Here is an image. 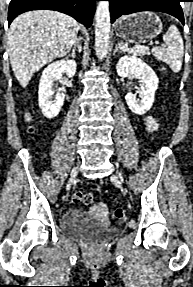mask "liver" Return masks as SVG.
<instances>
[{
	"instance_id": "1",
	"label": "liver",
	"mask_w": 193,
	"mask_h": 287,
	"mask_svg": "<svg viewBox=\"0 0 193 287\" xmlns=\"http://www.w3.org/2000/svg\"><path fill=\"white\" fill-rule=\"evenodd\" d=\"M80 26L72 17L50 10L18 16L7 34L12 70L22 87L35 72L57 57L69 53Z\"/></svg>"
}]
</instances>
